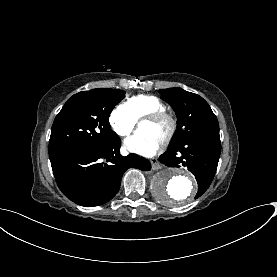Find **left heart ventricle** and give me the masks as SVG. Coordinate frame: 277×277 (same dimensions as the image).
Masks as SVG:
<instances>
[{
	"label": "left heart ventricle",
	"mask_w": 277,
	"mask_h": 277,
	"mask_svg": "<svg viewBox=\"0 0 277 277\" xmlns=\"http://www.w3.org/2000/svg\"><path fill=\"white\" fill-rule=\"evenodd\" d=\"M139 129L149 132L155 137L161 139L166 134L167 124L163 121L144 120L140 122Z\"/></svg>",
	"instance_id": "b2bd125f"
}]
</instances>
